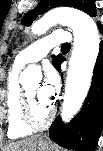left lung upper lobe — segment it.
<instances>
[{
	"label": "left lung upper lobe",
	"instance_id": "1",
	"mask_svg": "<svg viewBox=\"0 0 103 151\" xmlns=\"http://www.w3.org/2000/svg\"><path fill=\"white\" fill-rule=\"evenodd\" d=\"M58 6H70L80 9L90 16H96V6L94 0H41L39 4L33 10L29 11L22 18V24L25 26L31 25L37 16L45 13L46 11L58 7ZM100 24V23H99ZM100 26H102L100 24ZM63 57L58 55L53 56L52 64L59 69V65L63 61Z\"/></svg>",
	"mask_w": 103,
	"mask_h": 151
}]
</instances>
